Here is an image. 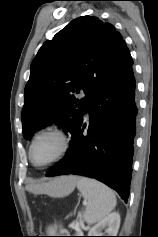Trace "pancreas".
<instances>
[{
	"label": "pancreas",
	"instance_id": "cf45deb5",
	"mask_svg": "<svg viewBox=\"0 0 158 237\" xmlns=\"http://www.w3.org/2000/svg\"><path fill=\"white\" fill-rule=\"evenodd\" d=\"M74 226H75L77 232H78V233H81V229H80V227H79V224H74Z\"/></svg>",
	"mask_w": 158,
	"mask_h": 237
}]
</instances>
